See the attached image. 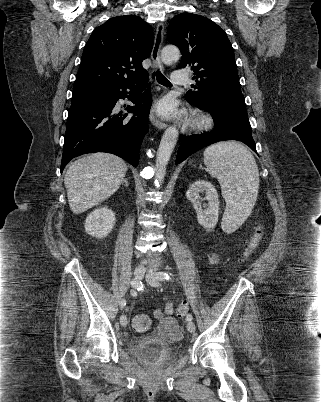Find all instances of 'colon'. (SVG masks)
<instances>
[{
    "mask_svg": "<svg viewBox=\"0 0 321 402\" xmlns=\"http://www.w3.org/2000/svg\"><path fill=\"white\" fill-rule=\"evenodd\" d=\"M263 237V228L257 227L255 232L253 233L250 241L248 242L246 251L244 253L245 258H249L255 254L257 248ZM189 311V304L187 301L181 302L177 307V315L178 317H185ZM133 328L136 331L144 332L150 327V320L144 314L135 315L132 321Z\"/></svg>",
    "mask_w": 321,
    "mask_h": 402,
    "instance_id": "5ec220e1",
    "label": "colon"
}]
</instances>
